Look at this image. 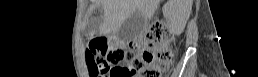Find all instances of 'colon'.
I'll return each instance as SVG.
<instances>
[{
  "label": "colon",
  "mask_w": 258,
  "mask_h": 77,
  "mask_svg": "<svg viewBox=\"0 0 258 77\" xmlns=\"http://www.w3.org/2000/svg\"><path fill=\"white\" fill-rule=\"evenodd\" d=\"M173 37L164 23L150 25L139 39L130 41L128 48H115L99 35L92 37L95 50L87 55L91 74L107 77H162L175 58Z\"/></svg>",
  "instance_id": "colon-1"
}]
</instances>
